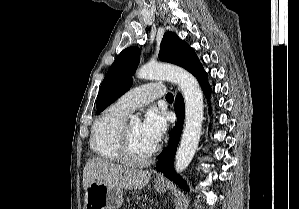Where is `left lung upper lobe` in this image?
<instances>
[{"instance_id":"obj_1","label":"left lung upper lobe","mask_w":299,"mask_h":209,"mask_svg":"<svg viewBox=\"0 0 299 209\" xmlns=\"http://www.w3.org/2000/svg\"><path fill=\"white\" fill-rule=\"evenodd\" d=\"M160 48V60L183 67L190 73L201 64L194 50L173 32L164 34ZM139 59L138 47L126 48L117 56L101 84L96 102L97 114L130 89Z\"/></svg>"}]
</instances>
